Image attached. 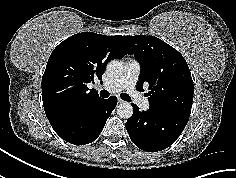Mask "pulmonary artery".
<instances>
[{
	"label": "pulmonary artery",
	"mask_w": 236,
	"mask_h": 178,
	"mask_svg": "<svg viewBox=\"0 0 236 178\" xmlns=\"http://www.w3.org/2000/svg\"><path fill=\"white\" fill-rule=\"evenodd\" d=\"M140 71L141 67L139 62L130 59L125 63L124 74L120 78L104 84L102 88L109 93L126 90L130 95H132L139 106L143 109H148L150 105L148 99L141 96V94L136 90V83L139 79Z\"/></svg>",
	"instance_id": "1"
}]
</instances>
